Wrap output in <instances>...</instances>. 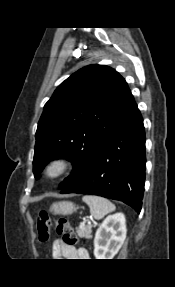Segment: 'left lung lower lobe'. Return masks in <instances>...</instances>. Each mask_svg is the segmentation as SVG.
I'll return each instance as SVG.
<instances>
[{"mask_svg": "<svg viewBox=\"0 0 175 287\" xmlns=\"http://www.w3.org/2000/svg\"><path fill=\"white\" fill-rule=\"evenodd\" d=\"M145 130L139 109L133 111L96 150L83 176L61 190L120 200L140 213L145 181Z\"/></svg>", "mask_w": 175, "mask_h": 287, "instance_id": "left-lung-lower-lobe-1", "label": "left lung lower lobe"}]
</instances>
